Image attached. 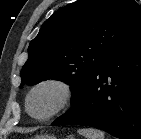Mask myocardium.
I'll return each mask as SVG.
<instances>
[{
	"mask_svg": "<svg viewBox=\"0 0 141 139\" xmlns=\"http://www.w3.org/2000/svg\"><path fill=\"white\" fill-rule=\"evenodd\" d=\"M45 86H52L59 90L61 94L60 101L58 105L52 110L49 114L45 116H36L32 113L30 109V100L32 95L40 88ZM74 89L70 83L67 81L57 78V77H47L37 81L35 84L31 86L29 89L26 98H25V108L28 115L34 120L45 122L53 119L54 117L61 114L64 110H66L74 99Z\"/></svg>",
	"mask_w": 141,
	"mask_h": 139,
	"instance_id": "f54148a6",
	"label": "myocardium"
}]
</instances>
